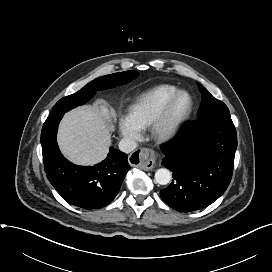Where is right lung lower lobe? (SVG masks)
I'll return each mask as SVG.
<instances>
[{
  "label": "right lung lower lobe",
  "instance_id": "98d812e1",
  "mask_svg": "<svg viewBox=\"0 0 272 272\" xmlns=\"http://www.w3.org/2000/svg\"><path fill=\"white\" fill-rule=\"evenodd\" d=\"M64 113L49 116L42 128L41 145L48 180L68 203L87 210L102 208L119 192L128 170V156L113 147L107 158L94 166L69 162L57 144V129Z\"/></svg>",
  "mask_w": 272,
  "mask_h": 272
}]
</instances>
